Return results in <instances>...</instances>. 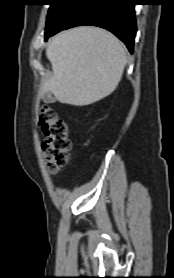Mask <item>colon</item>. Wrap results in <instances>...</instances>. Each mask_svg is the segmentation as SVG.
Returning <instances> with one entry per match:
<instances>
[{
	"instance_id": "5ec220e1",
	"label": "colon",
	"mask_w": 174,
	"mask_h": 278,
	"mask_svg": "<svg viewBox=\"0 0 174 278\" xmlns=\"http://www.w3.org/2000/svg\"><path fill=\"white\" fill-rule=\"evenodd\" d=\"M38 123L45 134L42 148L48 167L51 173L55 174L68 161L71 142L68 138L67 125L49 106L41 107Z\"/></svg>"
}]
</instances>
